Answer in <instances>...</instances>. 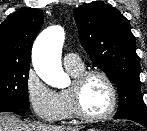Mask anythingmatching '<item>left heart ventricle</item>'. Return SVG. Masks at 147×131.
Listing matches in <instances>:
<instances>
[{"mask_svg":"<svg viewBox=\"0 0 147 131\" xmlns=\"http://www.w3.org/2000/svg\"><path fill=\"white\" fill-rule=\"evenodd\" d=\"M80 99L82 108L87 114H102L108 109L111 99L106 82L98 76L90 77L81 88Z\"/></svg>","mask_w":147,"mask_h":131,"instance_id":"obj_1","label":"left heart ventricle"}]
</instances>
